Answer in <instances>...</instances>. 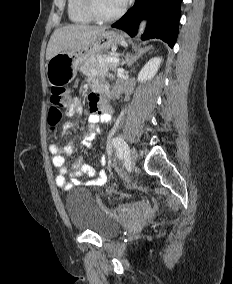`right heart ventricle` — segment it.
Listing matches in <instances>:
<instances>
[{"label":"right heart ventricle","mask_w":233,"mask_h":284,"mask_svg":"<svg viewBox=\"0 0 233 284\" xmlns=\"http://www.w3.org/2000/svg\"><path fill=\"white\" fill-rule=\"evenodd\" d=\"M67 14L73 23L90 24L94 21L85 8L84 0H67Z\"/></svg>","instance_id":"e07e8e85"}]
</instances>
